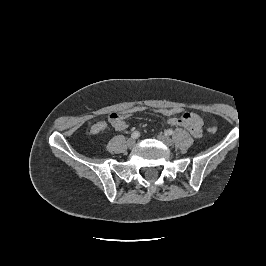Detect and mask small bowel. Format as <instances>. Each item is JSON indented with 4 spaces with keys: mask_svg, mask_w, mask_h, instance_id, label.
I'll return each mask as SVG.
<instances>
[{
    "mask_svg": "<svg viewBox=\"0 0 266 266\" xmlns=\"http://www.w3.org/2000/svg\"><path fill=\"white\" fill-rule=\"evenodd\" d=\"M168 124L171 126L183 127L187 129L193 137L196 138L200 137L202 134L203 121L198 114L193 112H186L181 117H170L168 119ZM112 126L118 131H123L128 127L125 119L112 124ZM106 127L107 123L105 121H98L91 126L90 132L92 134H99L103 132Z\"/></svg>",
    "mask_w": 266,
    "mask_h": 266,
    "instance_id": "1",
    "label": "small bowel"
}]
</instances>
